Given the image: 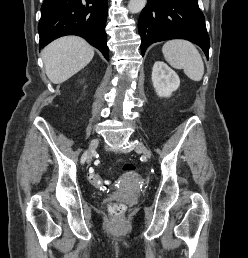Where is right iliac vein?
<instances>
[{
	"label": "right iliac vein",
	"instance_id": "1",
	"mask_svg": "<svg viewBox=\"0 0 248 258\" xmlns=\"http://www.w3.org/2000/svg\"><path fill=\"white\" fill-rule=\"evenodd\" d=\"M99 144V140L97 138H94L89 146V154L87 156V163L90 164L92 162V158H93V152L95 151V149L97 148Z\"/></svg>",
	"mask_w": 248,
	"mask_h": 258
}]
</instances>
